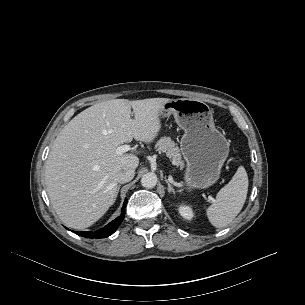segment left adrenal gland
I'll use <instances>...</instances> for the list:
<instances>
[{
  "label": "left adrenal gland",
  "mask_w": 305,
  "mask_h": 305,
  "mask_svg": "<svg viewBox=\"0 0 305 305\" xmlns=\"http://www.w3.org/2000/svg\"><path fill=\"white\" fill-rule=\"evenodd\" d=\"M165 181H166V183H167V185H168V192H169V193L175 194L174 188H173L172 185L170 184L169 180L166 179V177H165Z\"/></svg>",
  "instance_id": "obj_1"
}]
</instances>
